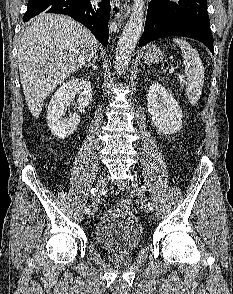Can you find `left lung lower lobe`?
<instances>
[{
  "instance_id": "0a47b994",
  "label": "left lung lower lobe",
  "mask_w": 233,
  "mask_h": 294,
  "mask_svg": "<svg viewBox=\"0 0 233 294\" xmlns=\"http://www.w3.org/2000/svg\"><path fill=\"white\" fill-rule=\"evenodd\" d=\"M168 36L196 39L214 54L207 0H152L139 47Z\"/></svg>"
}]
</instances>
